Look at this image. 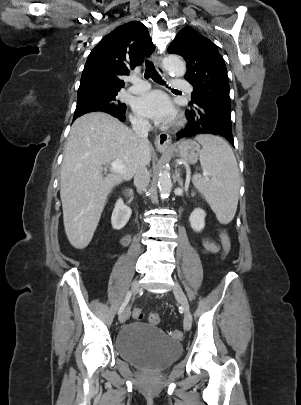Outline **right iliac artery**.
<instances>
[{
    "mask_svg": "<svg viewBox=\"0 0 301 405\" xmlns=\"http://www.w3.org/2000/svg\"><path fill=\"white\" fill-rule=\"evenodd\" d=\"M131 295H132V292L128 291L127 294H126L124 302L122 303V305L120 306V308L118 310L119 315L124 311L125 307L127 306L128 302H129V300L131 298Z\"/></svg>",
    "mask_w": 301,
    "mask_h": 405,
    "instance_id": "obj_1",
    "label": "right iliac artery"
}]
</instances>
